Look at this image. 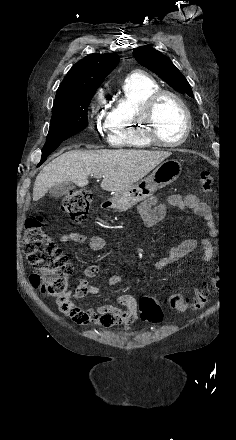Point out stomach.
Masks as SVG:
<instances>
[{"instance_id":"1","label":"stomach","mask_w":236,"mask_h":440,"mask_svg":"<svg viewBox=\"0 0 236 440\" xmlns=\"http://www.w3.org/2000/svg\"><path fill=\"white\" fill-rule=\"evenodd\" d=\"M181 164L169 159L163 161L146 178L125 190L116 191L111 197L114 210L123 212L151 197L158 189L174 182L181 174Z\"/></svg>"}]
</instances>
